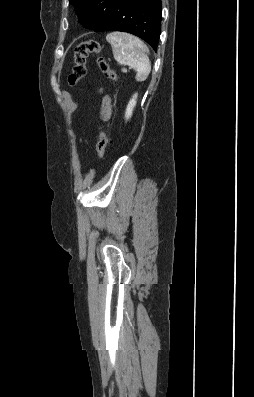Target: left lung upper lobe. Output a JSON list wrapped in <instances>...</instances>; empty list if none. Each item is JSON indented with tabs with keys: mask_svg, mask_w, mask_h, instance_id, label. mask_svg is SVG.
<instances>
[{
	"mask_svg": "<svg viewBox=\"0 0 254 397\" xmlns=\"http://www.w3.org/2000/svg\"><path fill=\"white\" fill-rule=\"evenodd\" d=\"M107 0H69L75 5L78 21L88 29H94L102 20Z\"/></svg>",
	"mask_w": 254,
	"mask_h": 397,
	"instance_id": "obj_1",
	"label": "left lung upper lobe"
}]
</instances>
